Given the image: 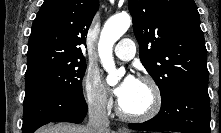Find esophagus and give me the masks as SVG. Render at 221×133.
<instances>
[{"label": "esophagus", "instance_id": "1", "mask_svg": "<svg viewBox=\"0 0 221 133\" xmlns=\"http://www.w3.org/2000/svg\"><path fill=\"white\" fill-rule=\"evenodd\" d=\"M119 133H126V131L124 129H118Z\"/></svg>", "mask_w": 221, "mask_h": 133}]
</instances>
